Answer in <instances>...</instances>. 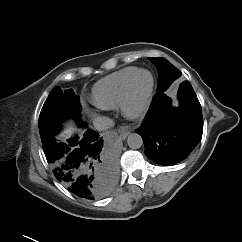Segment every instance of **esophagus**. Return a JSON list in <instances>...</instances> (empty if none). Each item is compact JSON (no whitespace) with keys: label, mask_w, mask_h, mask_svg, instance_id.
I'll list each match as a JSON object with an SVG mask.
<instances>
[{"label":"esophagus","mask_w":242,"mask_h":242,"mask_svg":"<svg viewBox=\"0 0 242 242\" xmlns=\"http://www.w3.org/2000/svg\"><path fill=\"white\" fill-rule=\"evenodd\" d=\"M130 134V131L126 128H122L121 131H120V135H119V138L121 140H125L126 137Z\"/></svg>","instance_id":"1"}]
</instances>
